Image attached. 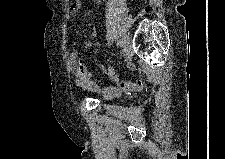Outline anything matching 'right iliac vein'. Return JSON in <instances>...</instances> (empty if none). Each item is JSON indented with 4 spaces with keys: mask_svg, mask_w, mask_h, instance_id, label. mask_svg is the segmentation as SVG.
<instances>
[{
    "mask_svg": "<svg viewBox=\"0 0 225 159\" xmlns=\"http://www.w3.org/2000/svg\"><path fill=\"white\" fill-rule=\"evenodd\" d=\"M129 47V38L127 35H123L121 40V48L123 51H126Z\"/></svg>",
    "mask_w": 225,
    "mask_h": 159,
    "instance_id": "right-iliac-vein-1",
    "label": "right iliac vein"
}]
</instances>
